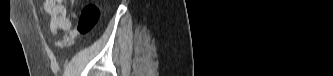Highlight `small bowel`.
<instances>
[{
	"mask_svg": "<svg viewBox=\"0 0 333 76\" xmlns=\"http://www.w3.org/2000/svg\"><path fill=\"white\" fill-rule=\"evenodd\" d=\"M44 9L50 17V29L53 34L71 30L72 22L66 0H46Z\"/></svg>",
	"mask_w": 333,
	"mask_h": 76,
	"instance_id": "small-bowel-1",
	"label": "small bowel"
}]
</instances>
